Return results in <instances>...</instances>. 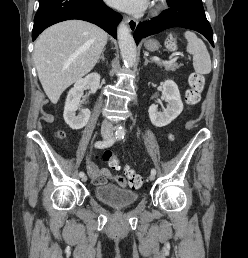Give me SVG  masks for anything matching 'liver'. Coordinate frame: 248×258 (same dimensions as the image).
Instances as JSON below:
<instances>
[{"instance_id":"1","label":"liver","mask_w":248,"mask_h":258,"mask_svg":"<svg viewBox=\"0 0 248 258\" xmlns=\"http://www.w3.org/2000/svg\"><path fill=\"white\" fill-rule=\"evenodd\" d=\"M107 39L104 30L80 20L55 24L40 34L33 58L42 87L53 104L65 89L93 69Z\"/></svg>"}]
</instances>
